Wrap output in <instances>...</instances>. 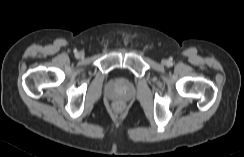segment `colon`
<instances>
[{"instance_id":"colon-1","label":"colon","mask_w":244,"mask_h":157,"mask_svg":"<svg viewBox=\"0 0 244 157\" xmlns=\"http://www.w3.org/2000/svg\"><path fill=\"white\" fill-rule=\"evenodd\" d=\"M123 108V103L122 102H116L115 104V109L116 110H121Z\"/></svg>"}]
</instances>
